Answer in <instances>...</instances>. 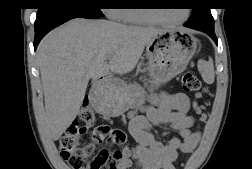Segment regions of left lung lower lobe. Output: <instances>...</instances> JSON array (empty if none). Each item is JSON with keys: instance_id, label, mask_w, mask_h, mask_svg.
<instances>
[{"instance_id": "1", "label": "left lung lower lobe", "mask_w": 252, "mask_h": 169, "mask_svg": "<svg viewBox=\"0 0 252 169\" xmlns=\"http://www.w3.org/2000/svg\"><path fill=\"white\" fill-rule=\"evenodd\" d=\"M203 32L207 33L214 40V42L217 44V38H216V35H215L214 31H203Z\"/></svg>"}]
</instances>
